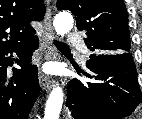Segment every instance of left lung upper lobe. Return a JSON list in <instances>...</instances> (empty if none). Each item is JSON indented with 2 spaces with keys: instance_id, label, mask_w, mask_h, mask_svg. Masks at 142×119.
Here are the masks:
<instances>
[{
  "instance_id": "left-lung-upper-lobe-1",
  "label": "left lung upper lobe",
  "mask_w": 142,
  "mask_h": 119,
  "mask_svg": "<svg viewBox=\"0 0 142 119\" xmlns=\"http://www.w3.org/2000/svg\"><path fill=\"white\" fill-rule=\"evenodd\" d=\"M73 13L87 47L96 53H130L128 16L123 0H57Z\"/></svg>"
}]
</instances>
